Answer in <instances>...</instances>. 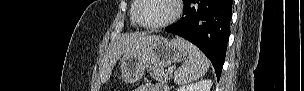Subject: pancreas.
Returning a JSON list of instances; mask_svg holds the SVG:
<instances>
[{
	"label": "pancreas",
	"instance_id": "1",
	"mask_svg": "<svg viewBox=\"0 0 304 91\" xmlns=\"http://www.w3.org/2000/svg\"><path fill=\"white\" fill-rule=\"evenodd\" d=\"M150 74L154 79L159 82H168L172 77V73H170L169 71H164L163 69L155 67L150 68Z\"/></svg>",
	"mask_w": 304,
	"mask_h": 91
}]
</instances>
